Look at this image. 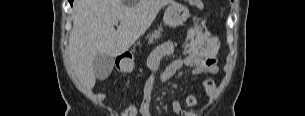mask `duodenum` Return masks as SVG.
Instances as JSON below:
<instances>
[{
	"mask_svg": "<svg viewBox=\"0 0 305 116\" xmlns=\"http://www.w3.org/2000/svg\"><path fill=\"white\" fill-rule=\"evenodd\" d=\"M127 57H128V54H122L121 56H119V60L126 59Z\"/></svg>",
	"mask_w": 305,
	"mask_h": 116,
	"instance_id": "obj_1",
	"label": "duodenum"
}]
</instances>
